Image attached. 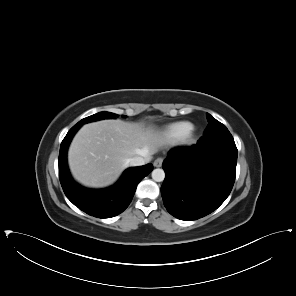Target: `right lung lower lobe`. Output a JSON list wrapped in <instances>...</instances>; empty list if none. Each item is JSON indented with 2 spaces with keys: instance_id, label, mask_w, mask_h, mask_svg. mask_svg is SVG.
Here are the masks:
<instances>
[{
  "instance_id": "98d812e1",
  "label": "right lung lower lobe",
  "mask_w": 296,
  "mask_h": 296,
  "mask_svg": "<svg viewBox=\"0 0 296 296\" xmlns=\"http://www.w3.org/2000/svg\"><path fill=\"white\" fill-rule=\"evenodd\" d=\"M80 125L73 126L60 146L59 178L67 198L80 210L99 218H110L122 213L130 204L137 184L152 170V164L127 169L119 181L106 189L92 190L77 184L67 166V149Z\"/></svg>"
}]
</instances>
